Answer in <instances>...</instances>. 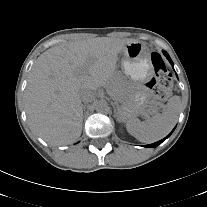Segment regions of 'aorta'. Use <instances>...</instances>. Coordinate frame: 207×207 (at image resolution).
I'll list each match as a JSON object with an SVG mask.
<instances>
[{"label":"aorta","mask_w":207,"mask_h":207,"mask_svg":"<svg viewBox=\"0 0 207 207\" xmlns=\"http://www.w3.org/2000/svg\"><path fill=\"white\" fill-rule=\"evenodd\" d=\"M95 109L99 113H107L109 111V106H108L107 102L99 101L96 104Z\"/></svg>","instance_id":"aorta-1"}]
</instances>
